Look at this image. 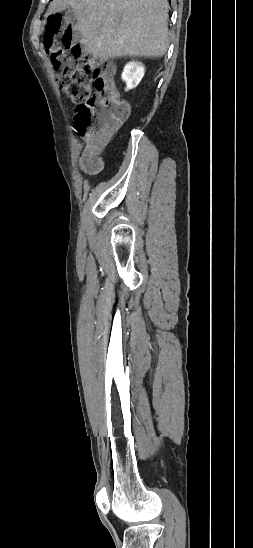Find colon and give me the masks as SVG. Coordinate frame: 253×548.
I'll return each instance as SVG.
<instances>
[{"instance_id":"1","label":"colon","mask_w":253,"mask_h":548,"mask_svg":"<svg viewBox=\"0 0 253 548\" xmlns=\"http://www.w3.org/2000/svg\"><path fill=\"white\" fill-rule=\"evenodd\" d=\"M60 24V16L49 17L48 28L52 33L58 31ZM69 39L66 32L62 42L47 37L44 45L59 71L58 86L77 104L75 127L88 142L85 168L95 172L100 169L97 153L104 139L127 118L129 107L111 79V66L84 56L81 48L72 46Z\"/></svg>"}]
</instances>
